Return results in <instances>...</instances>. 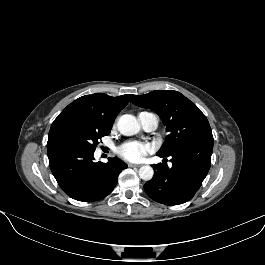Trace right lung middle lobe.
<instances>
[{
    "label": "right lung middle lobe",
    "mask_w": 265,
    "mask_h": 265,
    "mask_svg": "<svg viewBox=\"0 0 265 265\" xmlns=\"http://www.w3.org/2000/svg\"><path fill=\"white\" fill-rule=\"evenodd\" d=\"M111 129L99 128L79 120H66L51 127L47 147L72 145L95 151L99 140Z\"/></svg>",
    "instance_id": "1"
}]
</instances>
